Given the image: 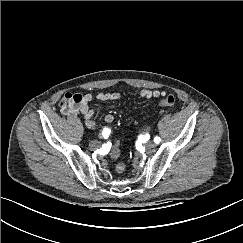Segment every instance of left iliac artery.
<instances>
[{
    "label": "left iliac artery",
    "mask_w": 243,
    "mask_h": 243,
    "mask_svg": "<svg viewBox=\"0 0 243 243\" xmlns=\"http://www.w3.org/2000/svg\"><path fill=\"white\" fill-rule=\"evenodd\" d=\"M160 141H161L160 137L156 136V137L154 138V142H155L156 144H159Z\"/></svg>",
    "instance_id": "left-iliac-artery-1"
}]
</instances>
